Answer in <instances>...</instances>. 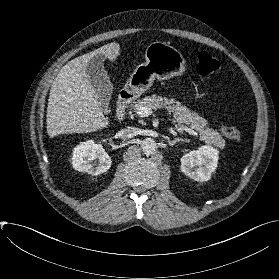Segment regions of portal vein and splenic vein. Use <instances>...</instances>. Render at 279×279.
<instances>
[{
  "instance_id": "18ae733b",
  "label": "portal vein and splenic vein",
  "mask_w": 279,
  "mask_h": 279,
  "mask_svg": "<svg viewBox=\"0 0 279 279\" xmlns=\"http://www.w3.org/2000/svg\"><path fill=\"white\" fill-rule=\"evenodd\" d=\"M137 114L139 116H141V117H147V116L152 114V110L149 107H144V106L143 107H139L137 109ZM183 129L186 132H188L189 134L193 135V136H196V137L198 136L197 132H195L194 130H192V129L188 128V127H183Z\"/></svg>"
}]
</instances>
